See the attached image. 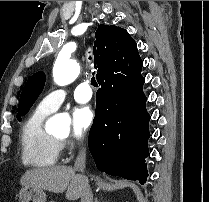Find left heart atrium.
Masks as SVG:
<instances>
[{"mask_svg":"<svg viewBox=\"0 0 209 202\" xmlns=\"http://www.w3.org/2000/svg\"><path fill=\"white\" fill-rule=\"evenodd\" d=\"M95 120V112L89 106L77 108L72 115V135L76 140L83 138Z\"/></svg>","mask_w":209,"mask_h":202,"instance_id":"1","label":"left heart atrium"}]
</instances>
